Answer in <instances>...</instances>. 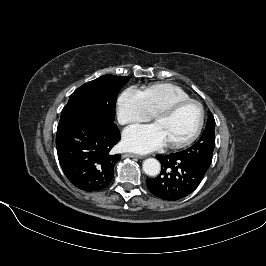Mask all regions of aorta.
<instances>
[{
    "label": "aorta",
    "instance_id": "obj_1",
    "mask_svg": "<svg viewBox=\"0 0 266 266\" xmlns=\"http://www.w3.org/2000/svg\"><path fill=\"white\" fill-rule=\"evenodd\" d=\"M160 170V162L154 158H148L143 162V171L149 176H157Z\"/></svg>",
    "mask_w": 266,
    "mask_h": 266
}]
</instances>
